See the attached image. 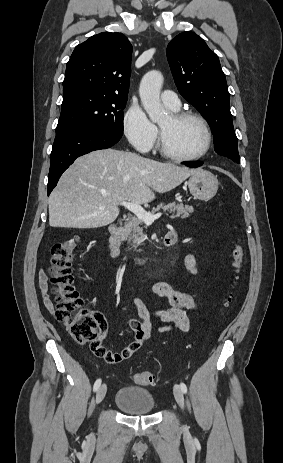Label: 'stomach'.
I'll use <instances>...</instances> for the list:
<instances>
[{
    "mask_svg": "<svg viewBox=\"0 0 283 463\" xmlns=\"http://www.w3.org/2000/svg\"><path fill=\"white\" fill-rule=\"evenodd\" d=\"M187 184L191 195L202 201L212 199L216 195L219 185L217 177L203 169H199L191 175Z\"/></svg>",
    "mask_w": 283,
    "mask_h": 463,
    "instance_id": "1",
    "label": "stomach"
}]
</instances>
